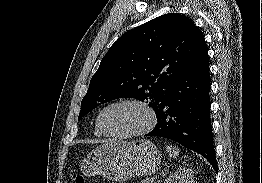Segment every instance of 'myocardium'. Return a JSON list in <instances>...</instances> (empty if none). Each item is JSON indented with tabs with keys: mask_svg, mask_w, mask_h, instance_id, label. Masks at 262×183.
Wrapping results in <instances>:
<instances>
[{
	"mask_svg": "<svg viewBox=\"0 0 262 183\" xmlns=\"http://www.w3.org/2000/svg\"><path fill=\"white\" fill-rule=\"evenodd\" d=\"M125 104H130V105H136L144 109L148 115V123L147 125L142 128L141 130L138 131H133L125 134H114L108 132L103 124H102V117L104 113L115 106L119 105H125ZM157 124V115L154 110V108L146 101L140 100V99H134V98H125L121 100L114 101L108 105H106L98 114L97 120H96V125L99 129V131L106 137L112 138V139H127V138H133V137H140L143 136L149 132H151Z\"/></svg>",
	"mask_w": 262,
	"mask_h": 183,
	"instance_id": "1",
	"label": "myocardium"
}]
</instances>
